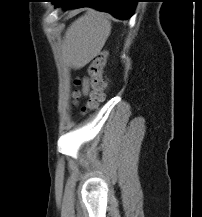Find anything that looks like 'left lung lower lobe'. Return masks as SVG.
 <instances>
[{
	"label": "left lung lower lobe",
	"mask_w": 202,
	"mask_h": 217,
	"mask_svg": "<svg viewBox=\"0 0 202 217\" xmlns=\"http://www.w3.org/2000/svg\"><path fill=\"white\" fill-rule=\"evenodd\" d=\"M55 7L79 8L93 7L100 11L109 12L118 19H129L135 10L138 0H52Z\"/></svg>",
	"instance_id": "1"
}]
</instances>
